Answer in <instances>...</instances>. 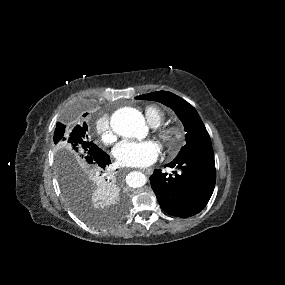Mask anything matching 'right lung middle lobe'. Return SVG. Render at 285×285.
Masks as SVG:
<instances>
[{
    "instance_id": "dd1d6c3e",
    "label": "right lung middle lobe",
    "mask_w": 285,
    "mask_h": 285,
    "mask_svg": "<svg viewBox=\"0 0 285 285\" xmlns=\"http://www.w3.org/2000/svg\"><path fill=\"white\" fill-rule=\"evenodd\" d=\"M87 130L86 123L68 131L63 124L57 123L54 132V141L59 143L57 173L65 199L78 217L93 226L106 227L117 221L119 216L108 222L92 207L97 184L104 185V174L97 164L104 151L89 139Z\"/></svg>"
}]
</instances>
